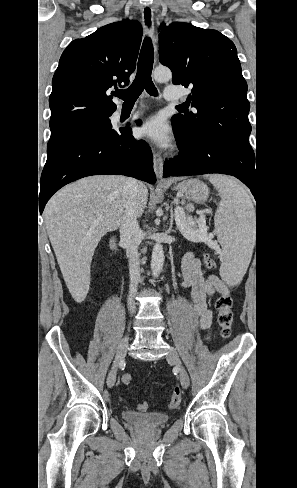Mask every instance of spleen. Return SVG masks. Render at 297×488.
I'll list each match as a JSON object with an SVG mask.
<instances>
[{"label": "spleen", "mask_w": 297, "mask_h": 488, "mask_svg": "<svg viewBox=\"0 0 297 488\" xmlns=\"http://www.w3.org/2000/svg\"><path fill=\"white\" fill-rule=\"evenodd\" d=\"M221 201L215 214L217 239L222 246L220 275L235 285L244 277L255 244V210L247 190L235 179L209 175Z\"/></svg>", "instance_id": "obj_1"}]
</instances>
